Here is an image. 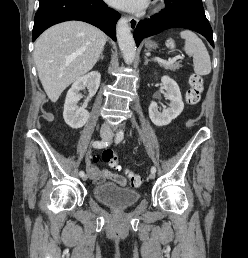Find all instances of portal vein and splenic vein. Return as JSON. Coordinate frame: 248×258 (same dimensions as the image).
I'll list each match as a JSON object with an SVG mask.
<instances>
[{
    "label": "portal vein and splenic vein",
    "mask_w": 248,
    "mask_h": 258,
    "mask_svg": "<svg viewBox=\"0 0 248 258\" xmlns=\"http://www.w3.org/2000/svg\"><path fill=\"white\" fill-rule=\"evenodd\" d=\"M182 57L180 55L178 56H175L174 58L172 59H169L168 61L164 60V59H161L160 57H155L154 60L158 61V62H163V63H173L175 62L176 60L178 59H181Z\"/></svg>",
    "instance_id": "1"
}]
</instances>
